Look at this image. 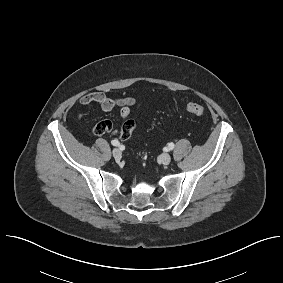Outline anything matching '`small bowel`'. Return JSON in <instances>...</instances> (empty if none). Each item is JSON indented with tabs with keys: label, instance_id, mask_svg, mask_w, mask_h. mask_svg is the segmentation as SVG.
Here are the masks:
<instances>
[{
	"label": "small bowel",
	"instance_id": "c3829d8e",
	"mask_svg": "<svg viewBox=\"0 0 283 283\" xmlns=\"http://www.w3.org/2000/svg\"><path fill=\"white\" fill-rule=\"evenodd\" d=\"M82 106H89L92 104L98 105L103 111L111 112L114 108H120V116L124 120L123 125L114 133L120 139L129 138L136 129V124L129 119L131 108L138 106V102L131 97H110L100 91L89 92L83 95L80 99ZM78 118L82 119L83 114L79 113Z\"/></svg>",
	"mask_w": 283,
	"mask_h": 283
}]
</instances>
